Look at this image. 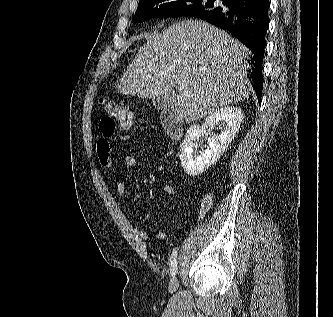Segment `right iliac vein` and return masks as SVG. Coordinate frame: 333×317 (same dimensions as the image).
<instances>
[{
  "label": "right iliac vein",
  "mask_w": 333,
  "mask_h": 317,
  "mask_svg": "<svg viewBox=\"0 0 333 317\" xmlns=\"http://www.w3.org/2000/svg\"><path fill=\"white\" fill-rule=\"evenodd\" d=\"M178 285H179L178 279H177V277L174 276L169 282V286H168L169 292L170 293L176 292V290L178 289Z\"/></svg>",
  "instance_id": "63e3f726"
}]
</instances>
